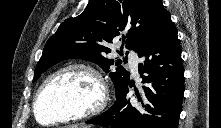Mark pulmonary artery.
<instances>
[{
	"instance_id": "1",
	"label": "pulmonary artery",
	"mask_w": 221,
	"mask_h": 128,
	"mask_svg": "<svg viewBox=\"0 0 221 128\" xmlns=\"http://www.w3.org/2000/svg\"><path fill=\"white\" fill-rule=\"evenodd\" d=\"M128 63H129V67L131 68V70L133 71L134 74L138 73V64H139V59L138 56L136 54H129L128 55Z\"/></svg>"
}]
</instances>
